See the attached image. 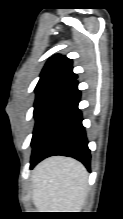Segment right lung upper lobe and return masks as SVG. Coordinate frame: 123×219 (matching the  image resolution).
Masks as SVG:
<instances>
[{
  "mask_svg": "<svg viewBox=\"0 0 123 219\" xmlns=\"http://www.w3.org/2000/svg\"><path fill=\"white\" fill-rule=\"evenodd\" d=\"M76 78L77 75L72 71V60L66 56L55 55L44 66L36 87L59 81L71 83Z\"/></svg>",
  "mask_w": 123,
  "mask_h": 219,
  "instance_id": "obj_1",
  "label": "right lung upper lobe"
}]
</instances>
